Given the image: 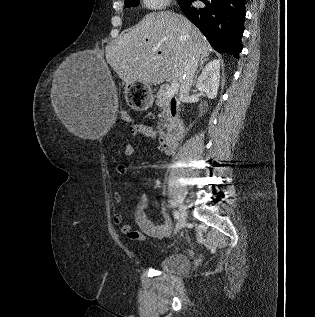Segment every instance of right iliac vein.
<instances>
[{"label":"right iliac vein","mask_w":315,"mask_h":317,"mask_svg":"<svg viewBox=\"0 0 315 317\" xmlns=\"http://www.w3.org/2000/svg\"><path fill=\"white\" fill-rule=\"evenodd\" d=\"M186 208L184 205H180L179 207V218H178V222L176 224V229H175V233H177L179 230H181L185 223H186Z\"/></svg>","instance_id":"right-iliac-vein-1"}]
</instances>
